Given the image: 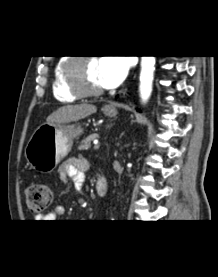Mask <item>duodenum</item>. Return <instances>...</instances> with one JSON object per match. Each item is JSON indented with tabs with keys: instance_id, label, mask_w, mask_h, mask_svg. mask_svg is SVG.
Instances as JSON below:
<instances>
[{
	"instance_id": "obj_1",
	"label": "duodenum",
	"mask_w": 218,
	"mask_h": 277,
	"mask_svg": "<svg viewBox=\"0 0 218 277\" xmlns=\"http://www.w3.org/2000/svg\"><path fill=\"white\" fill-rule=\"evenodd\" d=\"M108 182L105 178H98L95 184V189L99 196H104L108 192Z\"/></svg>"
}]
</instances>
